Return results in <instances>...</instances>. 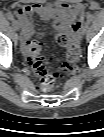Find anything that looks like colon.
Returning a JSON list of instances; mask_svg holds the SVG:
<instances>
[{
  "mask_svg": "<svg viewBox=\"0 0 104 137\" xmlns=\"http://www.w3.org/2000/svg\"><path fill=\"white\" fill-rule=\"evenodd\" d=\"M57 42L66 48V58L62 62V69L65 71L70 70L79 58V46L66 33H60L57 36ZM26 54L29 66L40 77V89L44 92L50 91L55 85L58 74L47 66L46 60L41 52L40 42H29Z\"/></svg>",
  "mask_w": 104,
  "mask_h": 137,
  "instance_id": "obj_1",
  "label": "colon"
}]
</instances>
